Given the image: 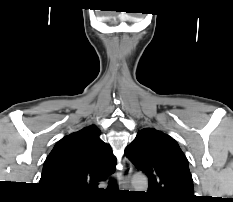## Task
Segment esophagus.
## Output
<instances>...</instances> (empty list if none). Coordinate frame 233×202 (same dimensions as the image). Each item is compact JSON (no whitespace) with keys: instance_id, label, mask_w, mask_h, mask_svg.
Here are the masks:
<instances>
[{"instance_id":"1","label":"esophagus","mask_w":233,"mask_h":202,"mask_svg":"<svg viewBox=\"0 0 233 202\" xmlns=\"http://www.w3.org/2000/svg\"><path fill=\"white\" fill-rule=\"evenodd\" d=\"M122 164L123 168L119 173V181L122 186L128 187L130 185V179L133 169L132 164L127 158L123 159Z\"/></svg>"}]
</instances>
